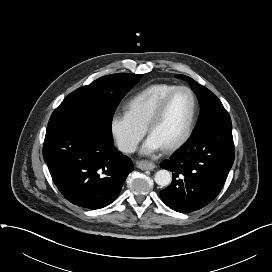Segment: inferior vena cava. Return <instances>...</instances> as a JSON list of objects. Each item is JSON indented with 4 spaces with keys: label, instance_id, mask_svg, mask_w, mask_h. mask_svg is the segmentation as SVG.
<instances>
[{
    "label": "inferior vena cava",
    "instance_id": "obj_1",
    "mask_svg": "<svg viewBox=\"0 0 272 272\" xmlns=\"http://www.w3.org/2000/svg\"><path fill=\"white\" fill-rule=\"evenodd\" d=\"M136 144L134 143H122L119 145V149L126 153H133L136 150Z\"/></svg>",
    "mask_w": 272,
    "mask_h": 272
}]
</instances>
